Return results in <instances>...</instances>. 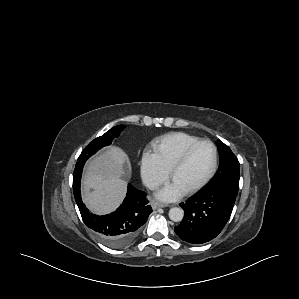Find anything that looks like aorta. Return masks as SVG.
<instances>
[{
	"mask_svg": "<svg viewBox=\"0 0 299 299\" xmlns=\"http://www.w3.org/2000/svg\"><path fill=\"white\" fill-rule=\"evenodd\" d=\"M169 218L174 222L182 221L184 217V211L181 208L173 207L169 210Z\"/></svg>",
	"mask_w": 299,
	"mask_h": 299,
	"instance_id": "aorta-1",
	"label": "aorta"
}]
</instances>
